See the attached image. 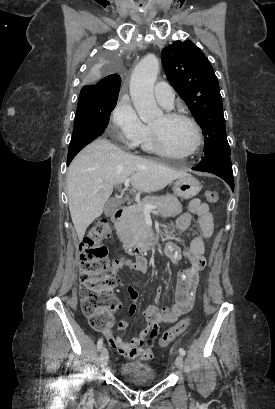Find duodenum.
<instances>
[{
  "label": "duodenum",
  "instance_id": "410a0bca",
  "mask_svg": "<svg viewBox=\"0 0 275 409\" xmlns=\"http://www.w3.org/2000/svg\"><path fill=\"white\" fill-rule=\"evenodd\" d=\"M127 208L125 206L120 207L112 215V222L115 225L121 224ZM158 244V236L151 232L143 241L138 243H126L125 249L134 255H141L150 249L154 248Z\"/></svg>",
  "mask_w": 275,
  "mask_h": 409
}]
</instances>
